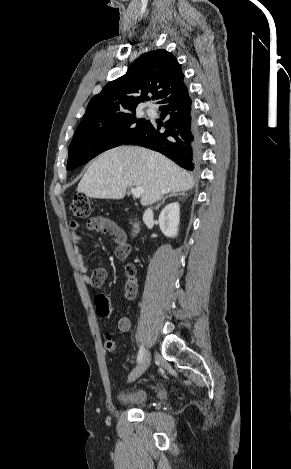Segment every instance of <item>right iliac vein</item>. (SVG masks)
I'll list each match as a JSON object with an SVG mask.
<instances>
[{
    "instance_id": "63e3f726",
    "label": "right iliac vein",
    "mask_w": 291,
    "mask_h": 469,
    "mask_svg": "<svg viewBox=\"0 0 291 469\" xmlns=\"http://www.w3.org/2000/svg\"><path fill=\"white\" fill-rule=\"evenodd\" d=\"M151 361V355L148 350L145 351L144 356L138 366L130 373L128 381L132 382L139 378L148 368Z\"/></svg>"
}]
</instances>
